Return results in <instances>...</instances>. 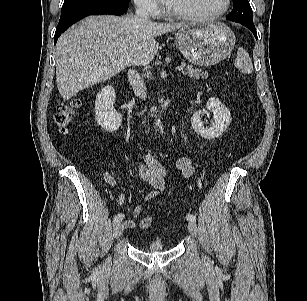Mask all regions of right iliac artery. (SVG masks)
Listing matches in <instances>:
<instances>
[{
    "mask_svg": "<svg viewBox=\"0 0 307 301\" xmlns=\"http://www.w3.org/2000/svg\"><path fill=\"white\" fill-rule=\"evenodd\" d=\"M124 218V215L122 213H118L117 215H115L114 217V222H119Z\"/></svg>",
    "mask_w": 307,
    "mask_h": 301,
    "instance_id": "82829eb1",
    "label": "right iliac artery"
}]
</instances>
